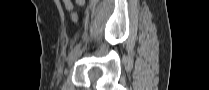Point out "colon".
I'll use <instances>...</instances> for the list:
<instances>
[{
	"instance_id": "obj_1",
	"label": "colon",
	"mask_w": 209,
	"mask_h": 90,
	"mask_svg": "<svg viewBox=\"0 0 209 90\" xmlns=\"http://www.w3.org/2000/svg\"><path fill=\"white\" fill-rule=\"evenodd\" d=\"M72 18H73V19H77V13H76V12H73Z\"/></svg>"
}]
</instances>
